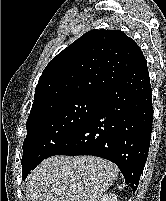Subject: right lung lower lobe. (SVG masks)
I'll use <instances>...</instances> for the list:
<instances>
[{"instance_id":"obj_1","label":"right lung lower lobe","mask_w":166,"mask_h":201,"mask_svg":"<svg viewBox=\"0 0 166 201\" xmlns=\"http://www.w3.org/2000/svg\"><path fill=\"white\" fill-rule=\"evenodd\" d=\"M153 122L146 59L106 90L93 113L48 157L92 155L115 163L136 191L146 162Z\"/></svg>"}]
</instances>
